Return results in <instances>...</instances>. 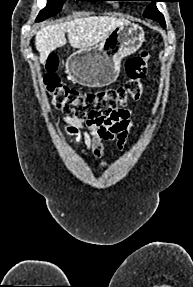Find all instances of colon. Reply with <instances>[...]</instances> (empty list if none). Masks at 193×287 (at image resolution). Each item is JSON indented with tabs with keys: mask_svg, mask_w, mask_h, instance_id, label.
<instances>
[{
	"mask_svg": "<svg viewBox=\"0 0 193 287\" xmlns=\"http://www.w3.org/2000/svg\"><path fill=\"white\" fill-rule=\"evenodd\" d=\"M149 59V52L129 58L125 63V71L129 79L121 87L80 93L61 83L56 74L58 58L51 55L47 61L43 86L53 98L57 108L66 113H73L76 117L86 121L100 120L101 122L121 106L140 98Z\"/></svg>",
	"mask_w": 193,
	"mask_h": 287,
	"instance_id": "colon-1",
	"label": "colon"
}]
</instances>
